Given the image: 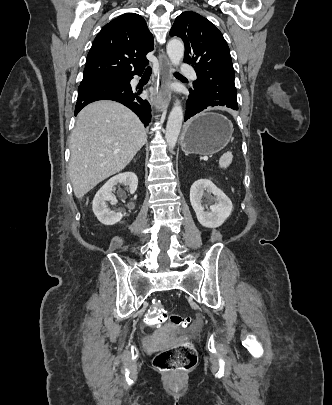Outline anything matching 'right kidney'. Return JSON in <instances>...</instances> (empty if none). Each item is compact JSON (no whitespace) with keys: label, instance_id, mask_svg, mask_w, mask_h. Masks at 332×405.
Listing matches in <instances>:
<instances>
[{"label":"right kidney","instance_id":"1","mask_svg":"<svg viewBox=\"0 0 332 405\" xmlns=\"http://www.w3.org/2000/svg\"><path fill=\"white\" fill-rule=\"evenodd\" d=\"M122 183L128 186L130 194L135 193L138 186V178L132 172L120 173L110 178L95 194L92 202L93 213L97 219L104 225H114L121 221L123 214L111 210L107 204H117L116 197L112 194L113 186Z\"/></svg>","mask_w":332,"mask_h":405}]
</instances>
